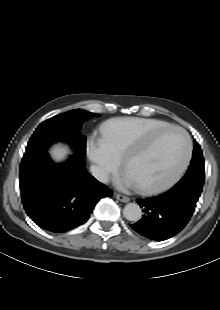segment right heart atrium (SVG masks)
<instances>
[{"instance_id":"d8ad5b80","label":"right heart atrium","mask_w":220,"mask_h":310,"mask_svg":"<svg viewBox=\"0 0 220 310\" xmlns=\"http://www.w3.org/2000/svg\"><path fill=\"white\" fill-rule=\"evenodd\" d=\"M94 158L103 168L106 169L109 173H114L116 171V165L111 157L102 153L96 152Z\"/></svg>"}]
</instances>
